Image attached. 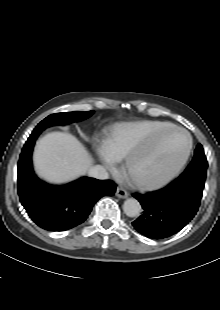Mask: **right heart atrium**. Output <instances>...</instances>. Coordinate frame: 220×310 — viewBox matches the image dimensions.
Returning a JSON list of instances; mask_svg holds the SVG:
<instances>
[{"mask_svg":"<svg viewBox=\"0 0 220 310\" xmlns=\"http://www.w3.org/2000/svg\"><path fill=\"white\" fill-rule=\"evenodd\" d=\"M101 158L103 160V162L108 166V167H113V162L103 151L102 149V153H101Z\"/></svg>","mask_w":220,"mask_h":310,"instance_id":"obj_1","label":"right heart atrium"}]
</instances>
